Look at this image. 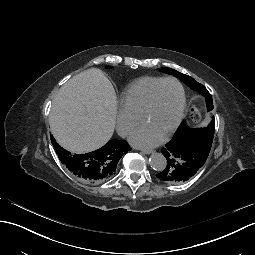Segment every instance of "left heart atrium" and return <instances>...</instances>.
<instances>
[{"instance_id": "left-heart-atrium-1", "label": "left heart atrium", "mask_w": 255, "mask_h": 255, "mask_svg": "<svg viewBox=\"0 0 255 255\" xmlns=\"http://www.w3.org/2000/svg\"><path fill=\"white\" fill-rule=\"evenodd\" d=\"M131 141L138 146H154L162 141V137L148 127L142 125L132 132Z\"/></svg>"}]
</instances>
